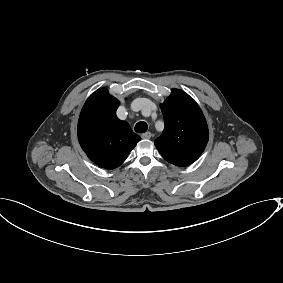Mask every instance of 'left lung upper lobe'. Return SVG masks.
Here are the masks:
<instances>
[{
    "instance_id": "1",
    "label": "left lung upper lobe",
    "mask_w": 283,
    "mask_h": 283,
    "mask_svg": "<svg viewBox=\"0 0 283 283\" xmlns=\"http://www.w3.org/2000/svg\"><path fill=\"white\" fill-rule=\"evenodd\" d=\"M165 128L155 140L162 157L176 166H187L204 151L209 137L206 119L198 104L185 92L173 89L161 104Z\"/></svg>"
}]
</instances>
